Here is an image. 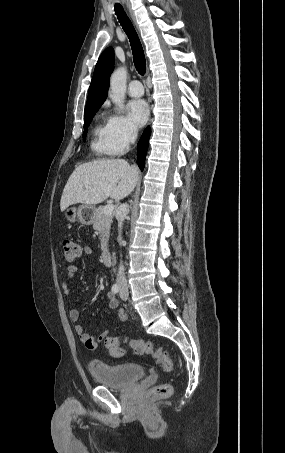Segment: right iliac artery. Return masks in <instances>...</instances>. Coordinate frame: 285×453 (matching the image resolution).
Returning a JSON list of instances; mask_svg holds the SVG:
<instances>
[{
	"label": "right iliac artery",
	"instance_id": "right-iliac-artery-1",
	"mask_svg": "<svg viewBox=\"0 0 285 453\" xmlns=\"http://www.w3.org/2000/svg\"><path fill=\"white\" fill-rule=\"evenodd\" d=\"M112 292H113V293H118V292H119V286H118V284H113V286H112Z\"/></svg>",
	"mask_w": 285,
	"mask_h": 453
}]
</instances>
